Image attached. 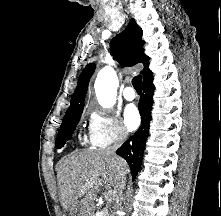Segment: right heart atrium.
<instances>
[{
    "mask_svg": "<svg viewBox=\"0 0 221 216\" xmlns=\"http://www.w3.org/2000/svg\"><path fill=\"white\" fill-rule=\"evenodd\" d=\"M89 113V139L93 146L105 148L128 138V130L115 113L97 108H91Z\"/></svg>",
    "mask_w": 221,
    "mask_h": 216,
    "instance_id": "d8ad5b80",
    "label": "right heart atrium"
}]
</instances>
